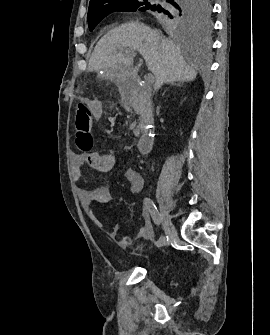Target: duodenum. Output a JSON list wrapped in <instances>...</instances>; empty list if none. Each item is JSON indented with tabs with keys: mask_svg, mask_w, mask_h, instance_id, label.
<instances>
[{
	"mask_svg": "<svg viewBox=\"0 0 270 335\" xmlns=\"http://www.w3.org/2000/svg\"><path fill=\"white\" fill-rule=\"evenodd\" d=\"M121 87L125 108L140 115L141 133L137 140V148L140 153L147 154L152 148L154 133L152 107L146 90L134 80L124 81Z\"/></svg>",
	"mask_w": 270,
	"mask_h": 335,
	"instance_id": "duodenum-1",
	"label": "duodenum"
}]
</instances>
